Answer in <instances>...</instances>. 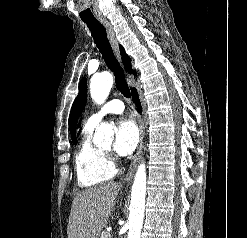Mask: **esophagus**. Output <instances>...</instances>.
<instances>
[{
  "label": "esophagus",
  "mask_w": 247,
  "mask_h": 238,
  "mask_svg": "<svg viewBox=\"0 0 247 238\" xmlns=\"http://www.w3.org/2000/svg\"><path fill=\"white\" fill-rule=\"evenodd\" d=\"M100 22L103 24V26L105 27V29L107 31V35H108L110 43L113 47V50L115 51L116 55L120 58L119 46H118V42H117V39H116L112 25L106 19H102V20H100ZM137 123L139 126V133H140L139 145H138L136 154L133 158V161H132V163H131V165H130L127 173H126V176L124 178L125 183H129L133 179L137 164H138L140 156H141L142 148H143L144 123H143L142 117L139 114H137Z\"/></svg>",
  "instance_id": "obj_1"
}]
</instances>
